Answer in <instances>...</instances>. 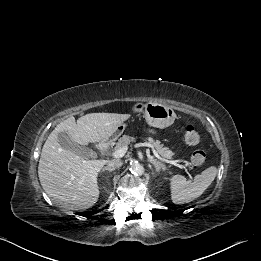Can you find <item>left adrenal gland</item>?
Listing matches in <instances>:
<instances>
[{"label": "left adrenal gland", "mask_w": 261, "mask_h": 261, "mask_svg": "<svg viewBox=\"0 0 261 261\" xmlns=\"http://www.w3.org/2000/svg\"><path fill=\"white\" fill-rule=\"evenodd\" d=\"M148 160L150 163H152L155 166V169L157 172H160L161 169L162 170L165 169L164 165L160 161H158L152 157H150Z\"/></svg>", "instance_id": "left-adrenal-gland-1"}]
</instances>
